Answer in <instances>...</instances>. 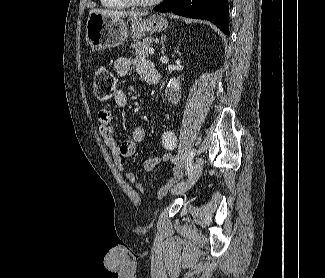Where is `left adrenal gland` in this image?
<instances>
[{"label":"left adrenal gland","mask_w":325,"mask_h":278,"mask_svg":"<svg viewBox=\"0 0 325 278\" xmlns=\"http://www.w3.org/2000/svg\"><path fill=\"white\" fill-rule=\"evenodd\" d=\"M166 40V36L162 37V52L164 53L165 51V45H164V41Z\"/></svg>","instance_id":"left-adrenal-gland-1"}]
</instances>
